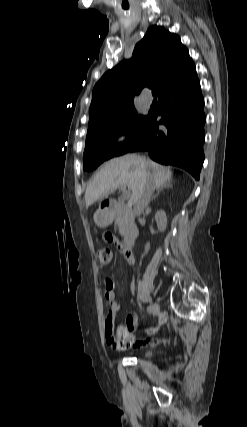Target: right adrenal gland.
<instances>
[{
  "label": "right adrenal gland",
  "mask_w": 247,
  "mask_h": 427,
  "mask_svg": "<svg viewBox=\"0 0 247 427\" xmlns=\"http://www.w3.org/2000/svg\"><path fill=\"white\" fill-rule=\"evenodd\" d=\"M170 186H171L170 183H167V184H164L163 186H161V188H159L157 190V193L151 198V200H154L163 189L169 188Z\"/></svg>",
  "instance_id": "obj_1"
}]
</instances>
